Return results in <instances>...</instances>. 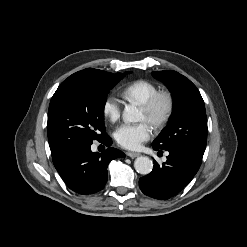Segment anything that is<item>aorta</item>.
<instances>
[{
  "label": "aorta",
  "instance_id": "1",
  "mask_svg": "<svg viewBox=\"0 0 247 247\" xmlns=\"http://www.w3.org/2000/svg\"><path fill=\"white\" fill-rule=\"evenodd\" d=\"M141 114L137 107L133 105H127L123 111V120L127 122L140 121ZM136 171L142 175L149 174L153 169V162L149 157L140 156L136 158L134 162Z\"/></svg>",
  "mask_w": 247,
  "mask_h": 247
}]
</instances>
